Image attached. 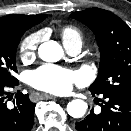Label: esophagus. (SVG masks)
<instances>
[{
    "label": "esophagus",
    "mask_w": 131,
    "mask_h": 131,
    "mask_svg": "<svg viewBox=\"0 0 131 131\" xmlns=\"http://www.w3.org/2000/svg\"><path fill=\"white\" fill-rule=\"evenodd\" d=\"M56 97L50 94H41L40 99H55Z\"/></svg>",
    "instance_id": "obj_1"
}]
</instances>
